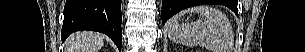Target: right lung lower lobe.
<instances>
[{"label":"right lung lower lobe","instance_id":"98d812e1","mask_svg":"<svg viewBox=\"0 0 305 52\" xmlns=\"http://www.w3.org/2000/svg\"><path fill=\"white\" fill-rule=\"evenodd\" d=\"M122 0H67L64 7L62 41L79 30L98 31L108 35L121 49Z\"/></svg>","mask_w":305,"mask_h":52}]
</instances>
